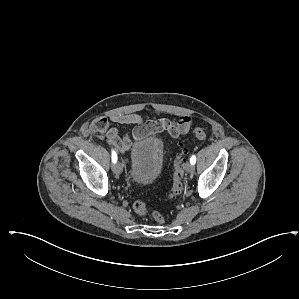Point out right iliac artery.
Masks as SVG:
<instances>
[{
  "label": "right iliac artery",
  "instance_id": "82829eb1",
  "mask_svg": "<svg viewBox=\"0 0 299 299\" xmlns=\"http://www.w3.org/2000/svg\"><path fill=\"white\" fill-rule=\"evenodd\" d=\"M117 162V154L114 150H112V163H116Z\"/></svg>",
  "mask_w": 299,
  "mask_h": 299
}]
</instances>
